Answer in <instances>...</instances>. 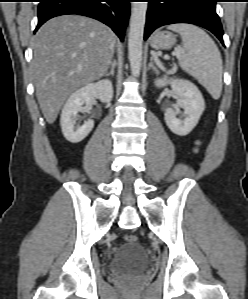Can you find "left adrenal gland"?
<instances>
[{
  "instance_id": "1",
  "label": "left adrenal gland",
  "mask_w": 248,
  "mask_h": 299,
  "mask_svg": "<svg viewBox=\"0 0 248 299\" xmlns=\"http://www.w3.org/2000/svg\"><path fill=\"white\" fill-rule=\"evenodd\" d=\"M148 69H152L156 74L159 73L158 68L156 67V65L153 62V56L150 57V63L148 65Z\"/></svg>"
}]
</instances>
